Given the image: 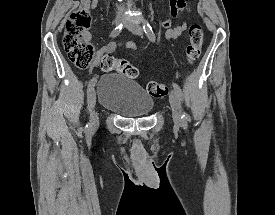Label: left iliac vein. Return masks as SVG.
Wrapping results in <instances>:
<instances>
[{"label":"left iliac vein","mask_w":275,"mask_h":215,"mask_svg":"<svg viewBox=\"0 0 275 215\" xmlns=\"http://www.w3.org/2000/svg\"><path fill=\"white\" fill-rule=\"evenodd\" d=\"M126 27L135 35H142L143 29L137 23L127 22ZM169 101L172 108V117L176 127H180L182 124V110L179 97L175 90L171 91L169 95Z\"/></svg>","instance_id":"left-iliac-vein-1"}]
</instances>
